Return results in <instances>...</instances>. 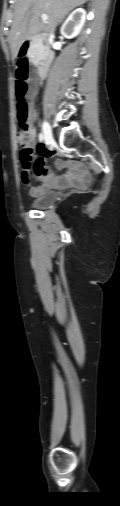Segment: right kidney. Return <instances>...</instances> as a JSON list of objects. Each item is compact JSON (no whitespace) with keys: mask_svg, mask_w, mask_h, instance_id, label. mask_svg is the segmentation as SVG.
<instances>
[{"mask_svg":"<svg viewBox=\"0 0 120 506\" xmlns=\"http://www.w3.org/2000/svg\"><path fill=\"white\" fill-rule=\"evenodd\" d=\"M86 19V11L82 8L75 9L61 27V34L66 38L77 36Z\"/></svg>","mask_w":120,"mask_h":506,"instance_id":"right-kidney-1","label":"right kidney"}]
</instances>
